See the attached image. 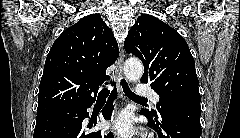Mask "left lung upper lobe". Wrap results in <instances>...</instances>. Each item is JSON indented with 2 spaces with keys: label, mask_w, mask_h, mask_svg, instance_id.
Returning <instances> with one entry per match:
<instances>
[{
  "label": "left lung upper lobe",
  "mask_w": 240,
  "mask_h": 138,
  "mask_svg": "<svg viewBox=\"0 0 240 138\" xmlns=\"http://www.w3.org/2000/svg\"><path fill=\"white\" fill-rule=\"evenodd\" d=\"M125 50L144 64L143 83L159 95L158 111L164 101L200 98L195 62L183 37L149 14H142L129 30ZM152 115H157L152 110Z\"/></svg>",
  "instance_id": "5c2ea615"
}]
</instances>
